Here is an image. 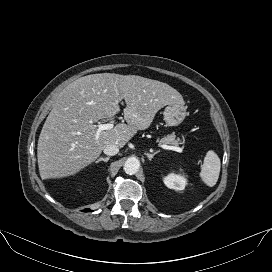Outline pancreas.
Instances as JSON below:
<instances>
[{"label": "pancreas", "mask_w": 272, "mask_h": 272, "mask_svg": "<svg viewBox=\"0 0 272 272\" xmlns=\"http://www.w3.org/2000/svg\"><path fill=\"white\" fill-rule=\"evenodd\" d=\"M160 144H169V145H175L178 146L180 144V140L176 139V136L174 133L167 135L160 140H158Z\"/></svg>", "instance_id": "1"}]
</instances>
